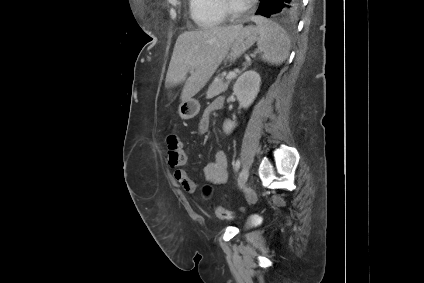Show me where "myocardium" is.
<instances>
[{
    "label": "myocardium",
    "mask_w": 424,
    "mask_h": 283,
    "mask_svg": "<svg viewBox=\"0 0 424 283\" xmlns=\"http://www.w3.org/2000/svg\"><path fill=\"white\" fill-rule=\"evenodd\" d=\"M220 5L225 16L230 19H239L243 17L251 8V4L247 3L242 8L236 9L230 4L229 0H220Z\"/></svg>",
    "instance_id": "myocardium-1"
}]
</instances>
